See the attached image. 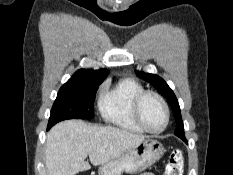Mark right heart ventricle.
I'll return each instance as SVG.
<instances>
[{"mask_svg": "<svg viewBox=\"0 0 233 175\" xmlns=\"http://www.w3.org/2000/svg\"><path fill=\"white\" fill-rule=\"evenodd\" d=\"M144 87L134 78H123L100 93L98 109L105 122L132 133H143L132 114L134 98Z\"/></svg>", "mask_w": 233, "mask_h": 175, "instance_id": "e07e8e85", "label": "right heart ventricle"}]
</instances>
